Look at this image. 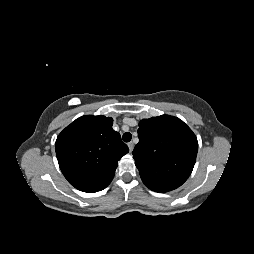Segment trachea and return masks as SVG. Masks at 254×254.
<instances>
[{"instance_id":"3493384b","label":"trachea","mask_w":254,"mask_h":254,"mask_svg":"<svg viewBox=\"0 0 254 254\" xmlns=\"http://www.w3.org/2000/svg\"><path fill=\"white\" fill-rule=\"evenodd\" d=\"M122 139L124 142H129L132 139V135L129 132L123 134Z\"/></svg>"}]
</instances>
